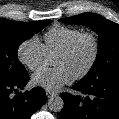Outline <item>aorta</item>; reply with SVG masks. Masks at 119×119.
Returning <instances> with one entry per match:
<instances>
[{
	"label": "aorta",
	"mask_w": 119,
	"mask_h": 119,
	"mask_svg": "<svg viewBox=\"0 0 119 119\" xmlns=\"http://www.w3.org/2000/svg\"><path fill=\"white\" fill-rule=\"evenodd\" d=\"M48 107L53 112H60L64 107V101L60 96H52L48 100Z\"/></svg>",
	"instance_id": "obj_1"
}]
</instances>
